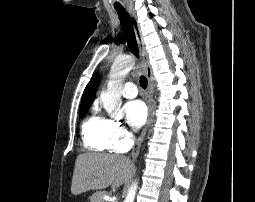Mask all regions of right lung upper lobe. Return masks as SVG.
<instances>
[{"label":"right lung upper lobe","mask_w":255,"mask_h":202,"mask_svg":"<svg viewBox=\"0 0 255 202\" xmlns=\"http://www.w3.org/2000/svg\"><path fill=\"white\" fill-rule=\"evenodd\" d=\"M99 81V74L95 73L83 92L81 106H91L95 98V91L99 85Z\"/></svg>","instance_id":"obj_1"}]
</instances>
